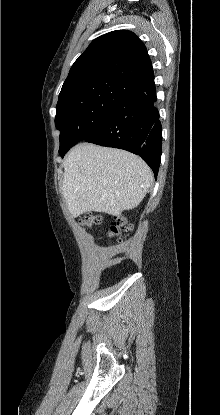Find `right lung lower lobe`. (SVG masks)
Wrapping results in <instances>:
<instances>
[{
    "mask_svg": "<svg viewBox=\"0 0 220 415\" xmlns=\"http://www.w3.org/2000/svg\"><path fill=\"white\" fill-rule=\"evenodd\" d=\"M155 101L153 78L117 104L99 129L85 141L140 155L156 178L161 160L162 127ZM69 149L59 150L60 156L63 157Z\"/></svg>",
    "mask_w": 220,
    "mask_h": 415,
    "instance_id": "obj_1",
    "label": "right lung lower lobe"
}]
</instances>
